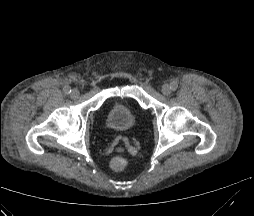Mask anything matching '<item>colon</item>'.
Returning <instances> with one entry per match:
<instances>
[{
  "mask_svg": "<svg viewBox=\"0 0 254 216\" xmlns=\"http://www.w3.org/2000/svg\"><path fill=\"white\" fill-rule=\"evenodd\" d=\"M126 166V160L122 156L114 157L110 162V167L113 171H122Z\"/></svg>",
  "mask_w": 254,
  "mask_h": 216,
  "instance_id": "5ec220e1",
  "label": "colon"
}]
</instances>
